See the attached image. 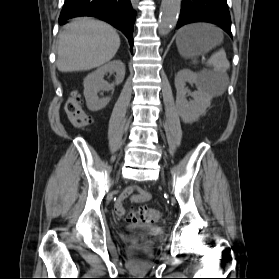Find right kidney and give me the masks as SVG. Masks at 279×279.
Masks as SVG:
<instances>
[{"label": "right kidney", "mask_w": 279, "mask_h": 279, "mask_svg": "<svg viewBox=\"0 0 279 279\" xmlns=\"http://www.w3.org/2000/svg\"><path fill=\"white\" fill-rule=\"evenodd\" d=\"M116 73L115 84H120L125 77V65L121 60H113L94 72L88 74L84 79V96L86 99V104L89 110L96 112L104 107L110 101L109 97L99 99L97 93L100 91H110L113 90L114 84H108L104 81V76L108 73Z\"/></svg>", "instance_id": "right-kidney-1"}]
</instances>
